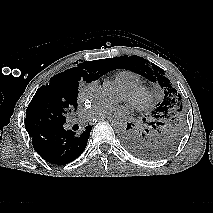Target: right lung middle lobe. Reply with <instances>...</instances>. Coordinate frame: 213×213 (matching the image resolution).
Segmentation results:
<instances>
[{"label": "right lung middle lobe", "instance_id": "obj_1", "mask_svg": "<svg viewBox=\"0 0 213 213\" xmlns=\"http://www.w3.org/2000/svg\"><path fill=\"white\" fill-rule=\"evenodd\" d=\"M96 77L83 69H69L50 79L38 89L27 110L25 125L29 136L44 129L62 125L77 110L79 81L89 83Z\"/></svg>", "mask_w": 213, "mask_h": 213}]
</instances>
